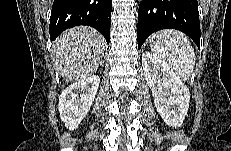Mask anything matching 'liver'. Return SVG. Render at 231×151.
Wrapping results in <instances>:
<instances>
[{
	"label": "liver",
	"mask_w": 231,
	"mask_h": 151,
	"mask_svg": "<svg viewBox=\"0 0 231 151\" xmlns=\"http://www.w3.org/2000/svg\"><path fill=\"white\" fill-rule=\"evenodd\" d=\"M105 47L103 36L91 27L66 30L53 45L54 68L67 81L91 76L102 63Z\"/></svg>",
	"instance_id": "obj_1"
}]
</instances>
